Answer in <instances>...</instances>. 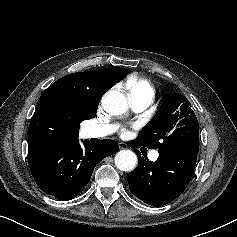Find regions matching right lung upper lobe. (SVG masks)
I'll list each match as a JSON object with an SVG mask.
<instances>
[{"label": "right lung upper lobe", "mask_w": 237, "mask_h": 237, "mask_svg": "<svg viewBox=\"0 0 237 237\" xmlns=\"http://www.w3.org/2000/svg\"><path fill=\"white\" fill-rule=\"evenodd\" d=\"M124 68L72 73L41 95L28 130V151L75 139L85 116L97 110L101 96L125 75Z\"/></svg>", "instance_id": "1"}]
</instances>
